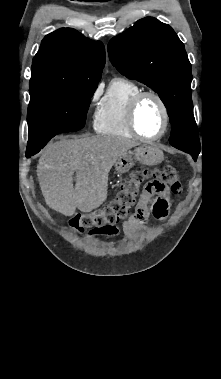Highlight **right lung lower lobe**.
<instances>
[{
    "mask_svg": "<svg viewBox=\"0 0 221 379\" xmlns=\"http://www.w3.org/2000/svg\"><path fill=\"white\" fill-rule=\"evenodd\" d=\"M41 148H43L42 146H39V147H30V146H27V150H26V157L27 158H30L31 156H33L34 154H36Z\"/></svg>",
    "mask_w": 221,
    "mask_h": 379,
    "instance_id": "right-lung-lower-lobe-1",
    "label": "right lung lower lobe"
}]
</instances>
